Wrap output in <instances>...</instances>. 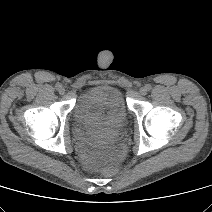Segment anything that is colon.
Wrapping results in <instances>:
<instances>
[{
	"label": "colon",
	"instance_id": "1",
	"mask_svg": "<svg viewBox=\"0 0 212 212\" xmlns=\"http://www.w3.org/2000/svg\"><path fill=\"white\" fill-rule=\"evenodd\" d=\"M115 171H116L115 169H111V170H110V172H111L112 174H114Z\"/></svg>",
	"mask_w": 212,
	"mask_h": 212
}]
</instances>
